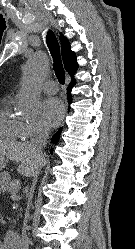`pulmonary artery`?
<instances>
[{
  "label": "pulmonary artery",
  "instance_id": "1",
  "mask_svg": "<svg viewBox=\"0 0 135 249\" xmlns=\"http://www.w3.org/2000/svg\"><path fill=\"white\" fill-rule=\"evenodd\" d=\"M42 90L46 94H55L58 91V86L54 81H47L46 83L43 84Z\"/></svg>",
  "mask_w": 135,
  "mask_h": 249
}]
</instances>
